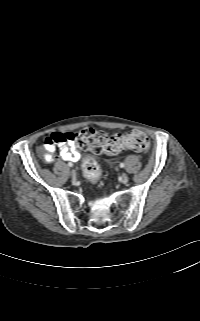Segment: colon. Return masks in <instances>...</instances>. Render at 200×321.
<instances>
[{"label":"colon","mask_w":200,"mask_h":321,"mask_svg":"<svg viewBox=\"0 0 200 321\" xmlns=\"http://www.w3.org/2000/svg\"><path fill=\"white\" fill-rule=\"evenodd\" d=\"M74 138L80 149L90 150L95 154L117 155L125 149L146 153L150 149L149 138L138 130L110 138L102 131L85 128L75 134ZM82 171L85 178L91 182H97L101 177L100 167L92 157L83 160Z\"/></svg>","instance_id":"5ec220e1"}]
</instances>
